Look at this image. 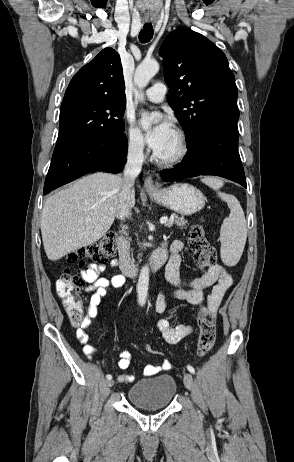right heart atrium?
<instances>
[{
  "instance_id": "right-heart-atrium-1",
  "label": "right heart atrium",
  "mask_w": 294,
  "mask_h": 462,
  "mask_svg": "<svg viewBox=\"0 0 294 462\" xmlns=\"http://www.w3.org/2000/svg\"><path fill=\"white\" fill-rule=\"evenodd\" d=\"M127 147L131 154L143 157L145 154V142L141 133L129 123L127 129Z\"/></svg>"
}]
</instances>
